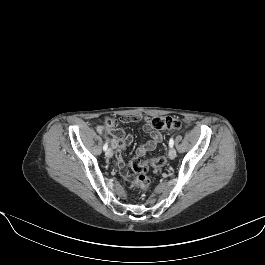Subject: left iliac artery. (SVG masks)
<instances>
[{
  "label": "left iliac artery",
  "mask_w": 265,
  "mask_h": 265,
  "mask_svg": "<svg viewBox=\"0 0 265 265\" xmlns=\"http://www.w3.org/2000/svg\"><path fill=\"white\" fill-rule=\"evenodd\" d=\"M173 145H174V140H173V138H171V139L169 140V146L172 148Z\"/></svg>",
  "instance_id": "left-iliac-artery-1"
}]
</instances>
